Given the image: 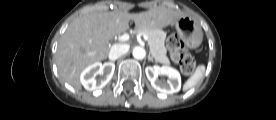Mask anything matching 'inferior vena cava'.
<instances>
[{"label": "inferior vena cava", "instance_id": "obj_1", "mask_svg": "<svg viewBox=\"0 0 276 120\" xmlns=\"http://www.w3.org/2000/svg\"><path fill=\"white\" fill-rule=\"evenodd\" d=\"M128 44H114L109 52V59L114 61L129 51Z\"/></svg>", "mask_w": 276, "mask_h": 120}]
</instances>
